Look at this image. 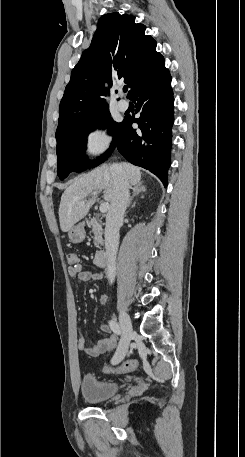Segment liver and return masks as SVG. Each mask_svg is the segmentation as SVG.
<instances>
[{
	"label": "liver",
	"instance_id": "6515ba94",
	"mask_svg": "<svg viewBox=\"0 0 245 457\" xmlns=\"http://www.w3.org/2000/svg\"><path fill=\"white\" fill-rule=\"evenodd\" d=\"M112 166H121L130 184H139L141 180L139 166H134L130 162H120V164H112ZM110 168L111 166H108V164L98 166V168H94L91 172L74 178L71 184L65 188L59 206V220L63 233L70 231L71 226H74L75 222L86 216L90 206L94 204L96 196L85 200L90 192H97L98 194L100 190H104L105 200L111 202L115 186Z\"/></svg>",
	"mask_w": 245,
	"mask_h": 457
}]
</instances>
